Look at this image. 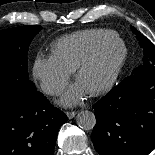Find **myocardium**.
Segmentation results:
<instances>
[{
    "label": "myocardium",
    "mask_w": 155,
    "mask_h": 155,
    "mask_svg": "<svg viewBox=\"0 0 155 155\" xmlns=\"http://www.w3.org/2000/svg\"><path fill=\"white\" fill-rule=\"evenodd\" d=\"M113 42H118L121 44L122 56L120 57L118 64H117L112 76L110 77V79L105 84L100 86L99 88L88 92L92 96H98V95H101V94L108 92L114 86L116 81L118 80V78H119V76H120V74H121V72H122V70L126 64L127 58H128V47H127L125 41L118 34H115L114 36H111L109 38L104 39L92 50V52L85 59H83L79 63V65L74 70V79L76 82H78L81 74L88 67H90L97 60V58L99 57L101 52L109 44H111Z\"/></svg>",
    "instance_id": "myocardium-1"
}]
</instances>
